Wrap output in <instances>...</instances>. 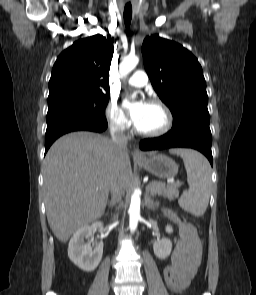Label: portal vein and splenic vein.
I'll use <instances>...</instances> for the list:
<instances>
[{
  "label": "portal vein and splenic vein",
  "instance_id": "18ae733b",
  "mask_svg": "<svg viewBox=\"0 0 256 295\" xmlns=\"http://www.w3.org/2000/svg\"><path fill=\"white\" fill-rule=\"evenodd\" d=\"M173 184L176 185V186H178V187H180L182 185L181 182H176V183H173Z\"/></svg>",
  "mask_w": 256,
  "mask_h": 295
}]
</instances>
